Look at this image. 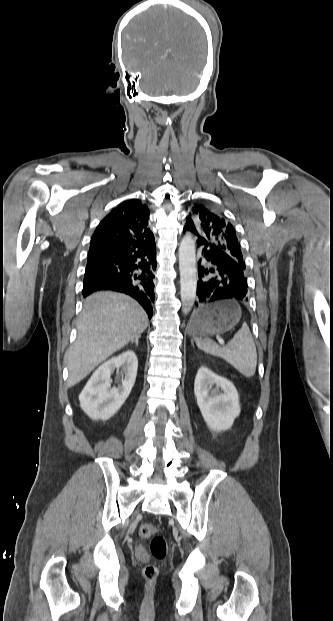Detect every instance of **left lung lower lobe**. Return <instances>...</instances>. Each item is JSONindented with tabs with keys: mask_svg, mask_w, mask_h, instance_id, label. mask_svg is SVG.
<instances>
[{
	"mask_svg": "<svg viewBox=\"0 0 333 621\" xmlns=\"http://www.w3.org/2000/svg\"><path fill=\"white\" fill-rule=\"evenodd\" d=\"M183 231H189L196 235V243L202 250L201 259L198 263L197 296L199 304L224 299L246 302L248 300V285L247 278L244 275L245 268L239 266L230 255L214 243L199 236L196 230L184 227ZM201 261H207L209 266H202ZM212 275L213 277H211Z\"/></svg>",
	"mask_w": 333,
	"mask_h": 621,
	"instance_id": "obj_1",
	"label": "left lung lower lobe"
}]
</instances>
